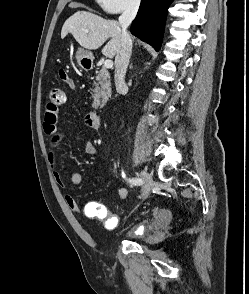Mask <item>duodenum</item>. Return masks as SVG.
Masks as SVG:
<instances>
[{
  "instance_id": "duodenum-1",
  "label": "duodenum",
  "mask_w": 249,
  "mask_h": 294,
  "mask_svg": "<svg viewBox=\"0 0 249 294\" xmlns=\"http://www.w3.org/2000/svg\"><path fill=\"white\" fill-rule=\"evenodd\" d=\"M88 115H89L90 120L93 123V126L96 129H98L100 126V116L94 111L90 112Z\"/></svg>"
}]
</instances>
